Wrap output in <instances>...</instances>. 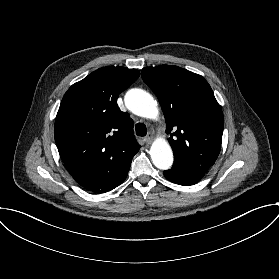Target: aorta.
Listing matches in <instances>:
<instances>
[{
    "label": "aorta",
    "instance_id": "1",
    "mask_svg": "<svg viewBox=\"0 0 279 279\" xmlns=\"http://www.w3.org/2000/svg\"><path fill=\"white\" fill-rule=\"evenodd\" d=\"M126 107L135 115L156 119L158 106L154 98L142 89L129 90L124 98ZM150 156L153 164L161 170L169 169L173 164V152L165 139H157L150 148Z\"/></svg>",
    "mask_w": 279,
    "mask_h": 279
}]
</instances>
